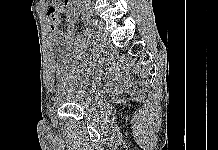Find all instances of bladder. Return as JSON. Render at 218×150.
<instances>
[{"label":"bladder","instance_id":"31cf9c89","mask_svg":"<svg viewBox=\"0 0 218 150\" xmlns=\"http://www.w3.org/2000/svg\"><path fill=\"white\" fill-rule=\"evenodd\" d=\"M77 55L62 57L56 75L57 93L66 103L88 107L91 104L94 89L90 86V75L83 71Z\"/></svg>","mask_w":218,"mask_h":150}]
</instances>
